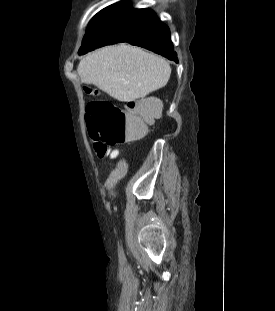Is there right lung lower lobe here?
I'll list each match as a JSON object with an SVG mask.
<instances>
[{"mask_svg":"<svg viewBox=\"0 0 275 311\" xmlns=\"http://www.w3.org/2000/svg\"><path fill=\"white\" fill-rule=\"evenodd\" d=\"M121 42L146 48L178 63L169 28L155 14L136 25Z\"/></svg>","mask_w":275,"mask_h":311,"instance_id":"obj_1","label":"right lung lower lobe"}]
</instances>
